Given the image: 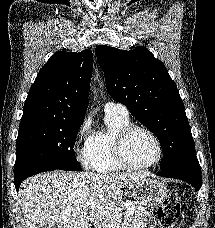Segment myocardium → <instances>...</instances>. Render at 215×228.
<instances>
[{"label":"myocardium","mask_w":215,"mask_h":228,"mask_svg":"<svg viewBox=\"0 0 215 228\" xmlns=\"http://www.w3.org/2000/svg\"><path fill=\"white\" fill-rule=\"evenodd\" d=\"M135 130H141V131H144L145 133H147L153 140L155 147H156L155 159L147 164L140 165V166H135V165L130 164L125 156V151H124L125 143H126L128 137ZM113 151H114V156H115L117 164L122 169L129 170V171H141V170L151 168V167L157 165L161 161L162 154H163L162 144H161L158 136L155 134V132L145 125L133 124V123L125 126L117 133V135L115 136V139H114V143H113Z\"/></svg>","instance_id":"obj_1"}]
</instances>
